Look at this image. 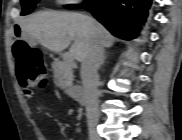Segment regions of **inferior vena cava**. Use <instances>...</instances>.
<instances>
[{
    "label": "inferior vena cava",
    "mask_w": 182,
    "mask_h": 140,
    "mask_svg": "<svg viewBox=\"0 0 182 140\" xmlns=\"http://www.w3.org/2000/svg\"><path fill=\"white\" fill-rule=\"evenodd\" d=\"M87 21L91 22V18L87 17ZM103 53V47L94 40L88 56L81 65V78L90 134L95 132L99 117L97 83L99 79L98 69L103 60Z\"/></svg>",
    "instance_id": "602c4592"
}]
</instances>
